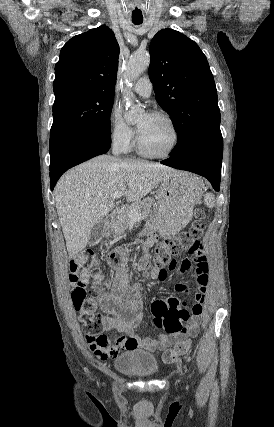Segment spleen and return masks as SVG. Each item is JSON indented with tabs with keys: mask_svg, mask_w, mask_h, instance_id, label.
Masks as SVG:
<instances>
[{
	"mask_svg": "<svg viewBox=\"0 0 274 427\" xmlns=\"http://www.w3.org/2000/svg\"><path fill=\"white\" fill-rule=\"evenodd\" d=\"M191 186H193L194 190H201V182L199 180V178H195L194 182H191ZM194 200H196V198H194ZM204 202L207 206V208H214L215 206V198L213 196V194H206L205 198H204Z\"/></svg>",
	"mask_w": 274,
	"mask_h": 427,
	"instance_id": "3e777b00",
	"label": "spleen"
}]
</instances>
